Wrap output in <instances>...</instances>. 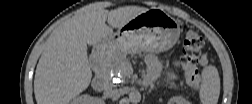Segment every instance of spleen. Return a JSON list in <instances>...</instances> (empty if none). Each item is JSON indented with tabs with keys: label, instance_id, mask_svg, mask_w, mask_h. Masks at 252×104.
<instances>
[{
	"label": "spleen",
	"instance_id": "obj_1",
	"mask_svg": "<svg viewBox=\"0 0 252 104\" xmlns=\"http://www.w3.org/2000/svg\"><path fill=\"white\" fill-rule=\"evenodd\" d=\"M220 94V77L215 66L209 65L202 70L199 97L203 104H216Z\"/></svg>",
	"mask_w": 252,
	"mask_h": 104
}]
</instances>
